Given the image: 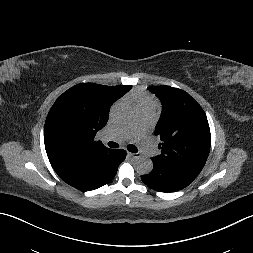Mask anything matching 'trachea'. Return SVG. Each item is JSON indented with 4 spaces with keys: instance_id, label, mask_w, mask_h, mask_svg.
I'll use <instances>...</instances> for the list:
<instances>
[{
    "instance_id": "3493384b",
    "label": "trachea",
    "mask_w": 253,
    "mask_h": 253,
    "mask_svg": "<svg viewBox=\"0 0 253 253\" xmlns=\"http://www.w3.org/2000/svg\"><path fill=\"white\" fill-rule=\"evenodd\" d=\"M107 145H108L110 148H118V147H119V145H118L117 143L112 142V141L108 142ZM127 150L130 151V152H132V153H137V152H138L137 147L134 146V145H128V146H127Z\"/></svg>"
}]
</instances>
